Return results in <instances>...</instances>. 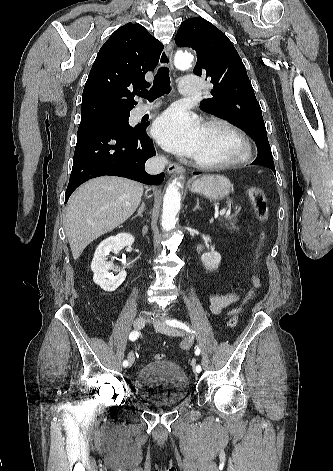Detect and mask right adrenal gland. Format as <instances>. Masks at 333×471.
<instances>
[{
    "label": "right adrenal gland",
    "instance_id": "obj_1",
    "mask_svg": "<svg viewBox=\"0 0 333 471\" xmlns=\"http://www.w3.org/2000/svg\"><path fill=\"white\" fill-rule=\"evenodd\" d=\"M144 210H145V204L142 202L141 205H140V207H139V209H138L137 214H136L132 219H135V218H137L138 216L143 217L142 212H143Z\"/></svg>",
    "mask_w": 333,
    "mask_h": 471
}]
</instances>
